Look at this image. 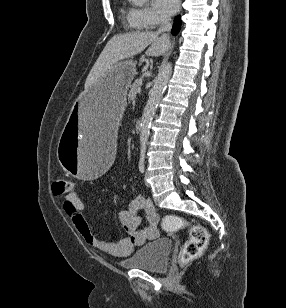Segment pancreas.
<instances>
[{
	"label": "pancreas",
	"mask_w": 286,
	"mask_h": 308,
	"mask_svg": "<svg viewBox=\"0 0 286 308\" xmlns=\"http://www.w3.org/2000/svg\"><path fill=\"white\" fill-rule=\"evenodd\" d=\"M141 86V81L140 80H136L131 86H130V91L128 94V97L130 99H133L136 97L137 94V89L140 88Z\"/></svg>",
	"instance_id": "cf45deb5"
}]
</instances>
